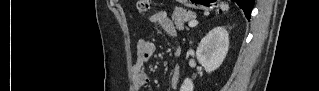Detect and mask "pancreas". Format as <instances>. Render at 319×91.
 I'll list each match as a JSON object with an SVG mask.
<instances>
[{
	"instance_id": "obj_1",
	"label": "pancreas",
	"mask_w": 319,
	"mask_h": 91,
	"mask_svg": "<svg viewBox=\"0 0 319 91\" xmlns=\"http://www.w3.org/2000/svg\"><path fill=\"white\" fill-rule=\"evenodd\" d=\"M195 17L196 14L194 12L181 8H176L172 14V20L178 30H184V23Z\"/></svg>"
}]
</instances>
